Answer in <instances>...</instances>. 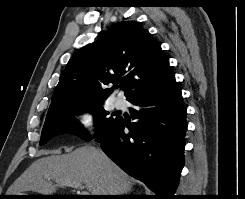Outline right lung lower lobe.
I'll return each mask as SVG.
<instances>
[{
  "instance_id": "obj_1",
  "label": "right lung lower lobe",
  "mask_w": 245,
  "mask_h": 199,
  "mask_svg": "<svg viewBox=\"0 0 245 199\" xmlns=\"http://www.w3.org/2000/svg\"><path fill=\"white\" fill-rule=\"evenodd\" d=\"M133 123L117 117L99 135L104 153L157 195L175 199L184 166L186 107L176 81L155 93L130 100ZM129 133H124V128Z\"/></svg>"
}]
</instances>
